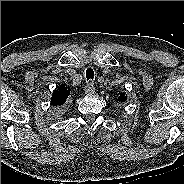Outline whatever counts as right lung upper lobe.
I'll use <instances>...</instances> for the list:
<instances>
[{
    "mask_svg": "<svg viewBox=\"0 0 184 184\" xmlns=\"http://www.w3.org/2000/svg\"><path fill=\"white\" fill-rule=\"evenodd\" d=\"M70 95V89L67 88L65 84H62L57 87V89L53 92L51 97V105L52 106H62L68 96Z\"/></svg>",
    "mask_w": 184,
    "mask_h": 184,
    "instance_id": "right-lung-upper-lobe-1",
    "label": "right lung upper lobe"
}]
</instances>
